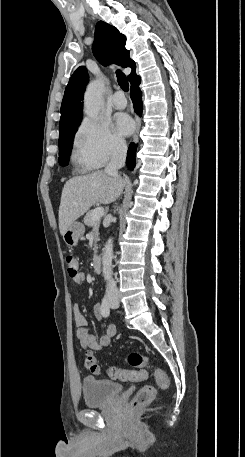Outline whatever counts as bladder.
<instances>
[{"mask_svg":"<svg viewBox=\"0 0 245 457\" xmlns=\"http://www.w3.org/2000/svg\"><path fill=\"white\" fill-rule=\"evenodd\" d=\"M120 389L119 382L87 377L83 380L85 406L108 404L113 395L119 394Z\"/></svg>","mask_w":245,"mask_h":457,"instance_id":"obj_1","label":"bladder"}]
</instances>
